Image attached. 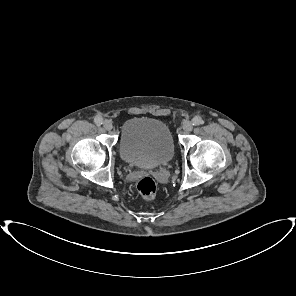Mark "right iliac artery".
<instances>
[{
  "mask_svg": "<svg viewBox=\"0 0 296 296\" xmlns=\"http://www.w3.org/2000/svg\"><path fill=\"white\" fill-rule=\"evenodd\" d=\"M94 122H95L96 125L99 126V125L102 124L103 119H102V117L96 116V117L94 118Z\"/></svg>",
  "mask_w": 296,
  "mask_h": 296,
  "instance_id": "right-iliac-artery-1",
  "label": "right iliac artery"
}]
</instances>
